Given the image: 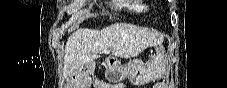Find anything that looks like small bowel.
Masks as SVG:
<instances>
[{
	"instance_id": "small-bowel-1",
	"label": "small bowel",
	"mask_w": 227,
	"mask_h": 88,
	"mask_svg": "<svg viewBox=\"0 0 227 88\" xmlns=\"http://www.w3.org/2000/svg\"><path fill=\"white\" fill-rule=\"evenodd\" d=\"M98 87L99 88H123L124 85L123 84L110 85L107 83H101Z\"/></svg>"
}]
</instances>
